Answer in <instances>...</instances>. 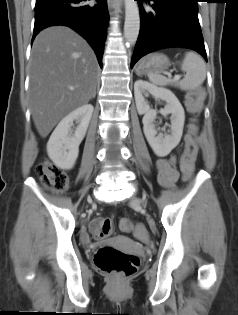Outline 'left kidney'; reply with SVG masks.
Segmentation results:
<instances>
[{
    "label": "left kidney",
    "instance_id": "obj_1",
    "mask_svg": "<svg viewBox=\"0 0 238 315\" xmlns=\"http://www.w3.org/2000/svg\"><path fill=\"white\" fill-rule=\"evenodd\" d=\"M148 94L166 102V106L160 110V113L164 116L171 114L170 134L157 135L154 125L157 112L151 109L146 101L145 97ZM134 95L138 113L144 114L143 130L149 145L157 156H167L179 144L182 137L185 113L181 103L170 90L159 88L141 79L134 83Z\"/></svg>",
    "mask_w": 238,
    "mask_h": 315
}]
</instances>
